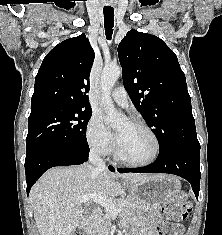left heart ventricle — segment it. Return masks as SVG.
<instances>
[{"label":"left heart ventricle","mask_w":222,"mask_h":235,"mask_svg":"<svg viewBox=\"0 0 222 235\" xmlns=\"http://www.w3.org/2000/svg\"><path fill=\"white\" fill-rule=\"evenodd\" d=\"M116 134L120 151L128 160L143 162L154 155L155 141L144 129L124 121L116 128Z\"/></svg>","instance_id":"1"}]
</instances>
